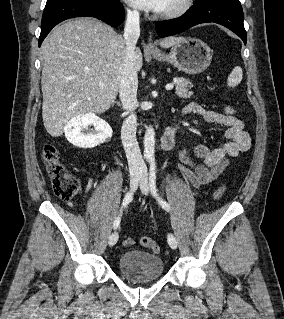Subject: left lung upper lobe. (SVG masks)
<instances>
[{"label":"left lung upper lobe","instance_id":"left-lung-upper-lobe-1","mask_svg":"<svg viewBox=\"0 0 284 319\" xmlns=\"http://www.w3.org/2000/svg\"><path fill=\"white\" fill-rule=\"evenodd\" d=\"M202 1H205V0H195V2H202Z\"/></svg>","mask_w":284,"mask_h":319}]
</instances>
